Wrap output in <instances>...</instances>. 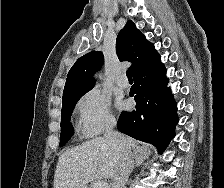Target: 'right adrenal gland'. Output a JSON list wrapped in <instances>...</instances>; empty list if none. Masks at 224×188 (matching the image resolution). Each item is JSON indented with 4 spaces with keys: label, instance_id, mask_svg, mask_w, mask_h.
Listing matches in <instances>:
<instances>
[{
    "label": "right adrenal gland",
    "instance_id": "right-adrenal-gland-1",
    "mask_svg": "<svg viewBox=\"0 0 224 188\" xmlns=\"http://www.w3.org/2000/svg\"><path fill=\"white\" fill-rule=\"evenodd\" d=\"M146 159H148V155H146V154H135L133 156V160H132V170L131 171H133V169L135 167H137V166L141 165L142 163H144V161Z\"/></svg>",
    "mask_w": 224,
    "mask_h": 188
}]
</instances>
